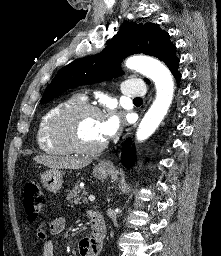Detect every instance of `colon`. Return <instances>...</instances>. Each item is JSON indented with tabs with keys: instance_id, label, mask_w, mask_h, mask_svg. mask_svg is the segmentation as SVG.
I'll return each instance as SVG.
<instances>
[{
	"instance_id": "1",
	"label": "colon",
	"mask_w": 221,
	"mask_h": 256,
	"mask_svg": "<svg viewBox=\"0 0 221 256\" xmlns=\"http://www.w3.org/2000/svg\"><path fill=\"white\" fill-rule=\"evenodd\" d=\"M46 203V197L36 180H28L24 186V209L30 221H36Z\"/></svg>"
}]
</instances>
